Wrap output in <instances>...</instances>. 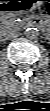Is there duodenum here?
Instances as JSON below:
<instances>
[{"label":"duodenum","mask_w":50,"mask_h":111,"mask_svg":"<svg viewBox=\"0 0 50 111\" xmlns=\"http://www.w3.org/2000/svg\"><path fill=\"white\" fill-rule=\"evenodd\" d=\"M29 23H37L39 26H41L44 29L48 28V23L43 20H30Z\"/></svg>","instance_id":"obj_1"}]
</instances>
